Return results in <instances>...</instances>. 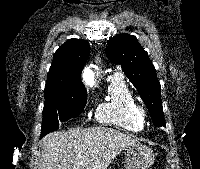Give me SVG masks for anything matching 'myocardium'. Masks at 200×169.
I'll return each mask as SVG.
<instances>
[{
    "mask_svg": "<svg viewBox=\"0 0 200 169\" xmlns=\"http://www.w3.org/2000/svg\"><path fill=\"white\" fill-rule=\"evenodd\" d=\"M137 114H138V117L143 121L146 117V111L143 107H138L137 109Z\"/></svg>",
    "mask_w": 200,
    "mask_h": 169,
    "instance_id": "f54148a6",
    "label": "myocardium"
}]
</instances>
